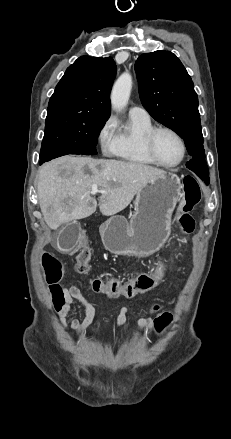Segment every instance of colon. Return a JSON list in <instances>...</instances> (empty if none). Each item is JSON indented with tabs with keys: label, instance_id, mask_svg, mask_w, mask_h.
Listing matches in <instances>:
<instances>
[{
	"label": "colon",
	"instance_id": "1",
	"mask_svg": "<svg viewBox=\"0 0 231 439\" xmlns=\"http://www.w3.org/2000/svg\"><path fill=\"white\" fill-rule=\"evenodd\" d=\"M200 200L201 190L199 184L193 177H185L183 197L179 203L177 215L178 225L185 234H189L194 230L195 223L190 212ZM87 241V236H80L78 246L81 250L76 256L75 265V269L79 274H86L90 269L91 250L86 247ZM42 255L45 256L43 265L53 299V304H49L47 309L49 313H60L64 305L63 290L60 285L64 274L63 265L55 256L49 254L48 249H43ZM164 276L165 267L162 265V262H158L156 265L151 266V268H147V270H140L139 275L131 280L121 281L119 279L94 278L90 282V287L94 292L105 294L111 298L118 296L136 298L140 293L143 295H146L149 291L153 293L155 291L153 288L161 284ZM148 288L151 289L149 290ZM171 322L172 315L164 312L154 320L155 330L158 333H162L169 327Z\"/></svg>",
	"mask_w": 231,
	"mask_h": 439
}]
</instances>
